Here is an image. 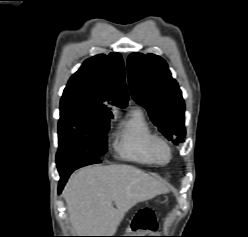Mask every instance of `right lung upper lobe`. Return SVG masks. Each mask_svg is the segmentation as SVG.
<instances>
[{"instance_id": "1", "label": "right lung upper lobe", "mask_w": 248, "mask_h": 237, "mask_svg": "<svg viewBox=\"0 0 248 237\" xmlns=\"http://www.w3.org/2000/svg\"><path fill=\"white\" fill-rule=\"evenodd\" d=\"M125 69L118 53L87 59L70 78L60 105H73L97 115H112L107 103L124 108L128 101Z\"/></svg>"}]
</instances>
